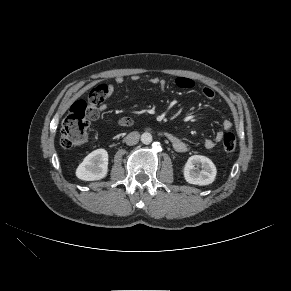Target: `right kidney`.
<instances>
[{"label":"right kidney","instance_id":"right-kidney-1","mask_svg":"<svg viewBox=\"0 0 291 291\" xmlns=\"http://www.w3.org/2000/svg\"><path fill=\"white\" fill-rule=\"evenodd\" d=\"M108 171V153L105 149H97L87 155L76 169V176L84 181L104 178Z\"/></svg>","mask_w":291,"mask_h":291}]
</instances>
